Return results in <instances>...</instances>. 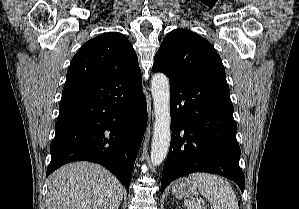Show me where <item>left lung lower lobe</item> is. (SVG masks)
I'll return each mask as SVG.
<instances>
[{"label": "left lung lower lobe", "mask_w": 299, "mask_h": 209, "mask_svg": "<svg viewBox=\"0 0 299 209\" xmlns=\"http://www.w3.org/2000/svg\"><path fill=\"white\" fill-rule=\"evenodd\" d=\"M170 151L163 167L161 192L183 175L216 173L244 191L239 166L237 125L227 84L206 80H170Z\"/></svg>", "instance_id": "0a47b994"}]
</instances>
